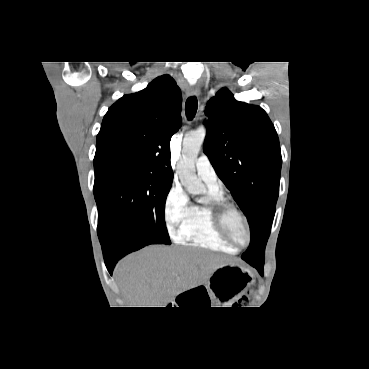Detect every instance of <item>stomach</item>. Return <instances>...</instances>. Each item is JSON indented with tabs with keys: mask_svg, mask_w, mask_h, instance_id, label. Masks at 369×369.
Wrapping results in <instances>:
<instances>
[{
	"mask_svg": "<svg viewBox=\"0 0 369 369\" xmlns=\"http://www.w3.org/2000/svg\"><path fill=\"white\" fill-rule=\"evenodd\" d=\"M251 280V273L243 267L223 263L211 274L205 288L213 299L229 303L247 289Z\"/></svg>",
	"mask_w": 369,
	"mask_h": 369,
	"instance_id": "obj_1",
	"label": "stomach"
}]
</instances>
